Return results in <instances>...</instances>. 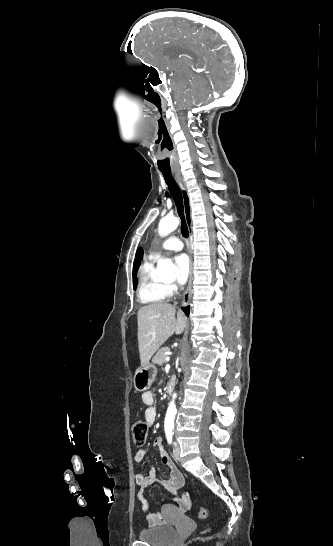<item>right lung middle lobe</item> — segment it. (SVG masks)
<instances>
[{
    "instance_id": "dd1d6c3e",
    "label": "right lung middle lobe",
    "mask_w": 333,
    "mask_h": 546,
    "mask_svg": "<svg viewBox=\"0 0 333 546\" xmlns=\"http://www.w3.org/2000/svg\"><path fill=\"white\" fill-rule=\"evenodd\" d=\"M137 269H138V264L134 263V265H133V280L135 281L133 283L134 289H136V284H137L136 279H135V273H136Z\"/></svg>"
}]
</instances>
